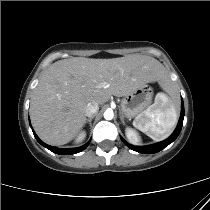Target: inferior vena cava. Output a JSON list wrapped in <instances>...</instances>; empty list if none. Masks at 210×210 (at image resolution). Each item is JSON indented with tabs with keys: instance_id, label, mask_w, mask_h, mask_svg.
Segmentation results:
<instances>
[{
	"instance_id": "1",
	"label": "inferior vena cava",
	"mask_w": 210,
	"mask_h": 210,
	"mask_svg": "<svg viewBox=\"0 0 210 210\" xmlns=\"http://www.w3.org/2000/svg\"><path fill=\"white\" fill-rule=\"evenodd\" d=\"M99 110V105L96 102H90L87 104L86 107V115L88 117L93 116L94 114H96Z\"/></svg>"
}]
</instances>
